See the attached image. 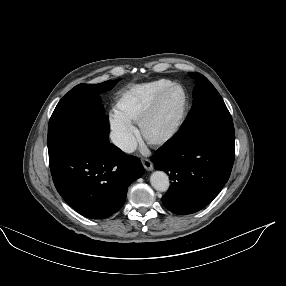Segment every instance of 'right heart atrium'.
<instances>
[{
    "label": "right heart atrium",
    "instance_id": "obj_1",
    "mask_svg": "<svg viewBox=\"0 0 286 286\" xmlns=\"http://www.w3.org/2000/svg\"><path fill=\"white\" fill-rule=\"evenodd\" d=\"M109 125L114 144L125 152L131 151L137 140L133 123L118 110L113 109L109 113Z\"/></svg>",
    "mask_w": 286,
    "mask_h": 286
}]
</instances>
